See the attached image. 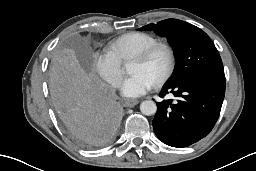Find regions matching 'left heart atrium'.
<instances>
[{
    "label": "left heart atrium",
    "mask_w": 256,
    "mask_h": 171,
    "mask_svg": "<svg viewBox=\"0 0 256 171\" xmlns=\"http://www.w3.org/2000/svg\"><path fill=\"white\" fill-rule=\"evenodd\" d=\"M154 84L142 73H136L126 78L120 85L121 94L125 97H140L149 92Z\"/></svg>",
    "instance_id": "obj_1"
}]
</instances>
